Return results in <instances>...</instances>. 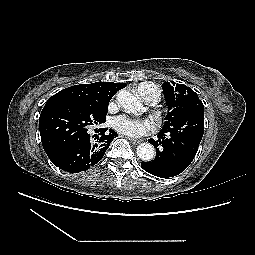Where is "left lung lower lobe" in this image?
<instances>
[{
	"mask_svg": "<svg viewBox=\"0 0 255 255\" xmlns=\"http://www.w3.org/2000/svg\"><path fill=\"white\" fill-rule=\"evenodd\" d=\"M204 133V109L199 110L190 125L179 122L163 127L158 140L149 139L156 148L153 161L142 162V168L157 177L168 178L182 173L194 159Z\"/></svg>",
	"mask_w": 255,
	"mask_h": 255,
	"instance_id": "obj_1",
	"label": "left lung lower lobe"
}]
</instances>
